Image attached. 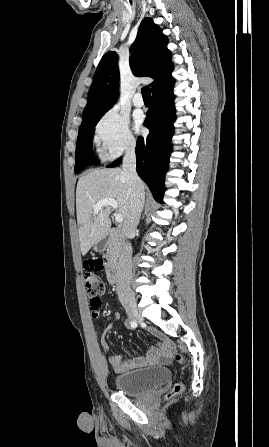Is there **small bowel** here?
Segmentation results:
<instances>
[{"instance_id":"1","label":"small bowel","mask_w":269,"mask_h":447,"mask_svg":"<svg viewBox=\"0 0 269 447\" xmlns=\"http://www.w3.org/2000/svg\"><path fill=\"white\" fill-rule=\"evenodd\" d=\"M117 317L118 314L114 313L113 320ZM150 333L159 341V345L152 349L148 355L128 358L124 355L112 354L109 357V362L116 372H125L142 366L168 364L171 362L174 356V348L171 346L169 341L166 340L159 331L150 330ZM102 346L105 350L108 349L106 342H103Z\"/></svg>"}]
</instances>
